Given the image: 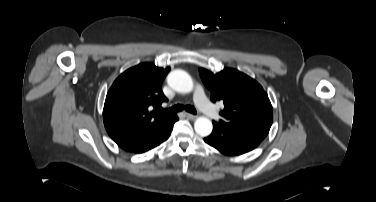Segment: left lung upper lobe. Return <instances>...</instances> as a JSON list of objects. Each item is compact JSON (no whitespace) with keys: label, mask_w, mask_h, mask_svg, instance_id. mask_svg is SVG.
<instances>
[{"label":"left lung upper lobe","mask_w":376,"mask_h":202,"mask_svg":"<svg viewBox=\"0 0 376 202\" xmlns=\"http://www.w3.org/2000/svg\"><path fill=\"white\" fill-rule=\"evenodd\" d=\"M199 73L211 91V100L224 103L220 123L263 139L267 136L273 121L272 105L254 79L230 68L217 74L200 68Z\"/></svg>","instance_id":"left-lung-upper-lobe-1"}]
</instances>
